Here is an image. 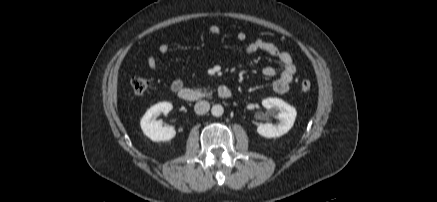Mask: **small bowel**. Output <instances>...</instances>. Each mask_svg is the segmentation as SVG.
Returning <instances> with one entry per match:
<instances>
[{
  "label": "small bowel",
  "instance_id": "c3829d8e",
  "mask_svg": "<svg viewBox=\"0 0 437 202\" xmlns=\"http://www.w3.org/2000/svg\"><path fill=\"white\" fill-rule=\"evenodd\" d=\"M209 32L214 36H219L221 34V29L217 25H212L209 28ZM236 39L239 42H244L246 40V34L244 32H238L236 34ZM170 51V44L165 42L162 43L158 52L161 55H167ZM265 52L272 57H275L282 65L281 70L278 72L275 67L267 66L262 69V74L266 77H274L278 74V77L273 82V90L278 94H284L288 92L290 85L293 81L294 75L296 73V65L291 57V55L284 50H281L274 43L267 41L263 38H256L247 43L245 47V52L248 55L254 54L256 52ZM147 67L152 72H158L160 69L158 60L154 54H149L147 57ZM184 86L182 79L174 78L170 84V88L173 92H178Z\"/></svg>",
  "mask_w": 437,
  "mask_h": 202
}]
</instances>
